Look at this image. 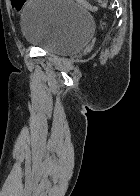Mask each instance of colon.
<instances>
[{
	"instance_id": "5ec220e1",
	"label": "colon",
	"mask_w": 140,
	"mask_h": 196,
	"mask_svg": "<svg viewBox=\"0 0 140 196\" xmlns=\"http://www.w3.org/2000/svg\"><path fill=\"white\" fill-rule=\"evenodd\" d=\"M79 4L83 5L84 7L88 8L91 11H95L96 7L94 5H92L91 3H89L86 0H76ZM13 2H15L16 4H18L20 2V0H13ZM104 25V24H103Z\"/></svg>"
}]
</instances>
